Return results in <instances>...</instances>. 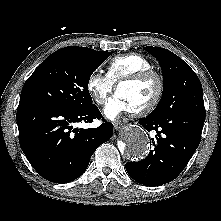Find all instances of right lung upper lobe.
I'll list each match as a JSON object with an SVG mask.
<instances>
[{"label":"right lung upper lobe","instance_id":"obj_1","mask_svg":"<svg viewBox=\"0 0 221 221\" xmlns=\"http://www.w3.org/2000/svg\"><path fill=\"white\" fill-rule=\"evenodd\" d=\"M63 50H70V51H74V52H78V53H82V54H86V55H96L99 52V51H95L90 48L76 47V46L65 47V48H63Z\"/></svg>","mask_w":221,"mask_h":221}]
</instances>
